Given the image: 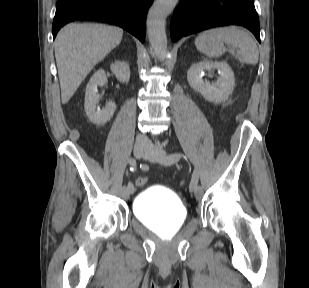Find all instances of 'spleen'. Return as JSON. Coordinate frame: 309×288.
Listing matches in <instances>:
<instances>
[{"label": "spleen", "mask_w": 309, "mask_h": 288, "mask_svg": "<svg viewBox=\"0 0 309 288\" xmlns=\"http://www.w3.org/2000/svg\"><path fill=\"white\" fill-rule=\"evenodd\" d=\"M224 44L232 47L227 49ZM195 46L210 58L219 57L229 51L241 63L256 65L259 59L256 43L247 32L235 26L203 31L196 37Z\"/></svg>", "instance_id": "3e777b00"}]
</instances>
